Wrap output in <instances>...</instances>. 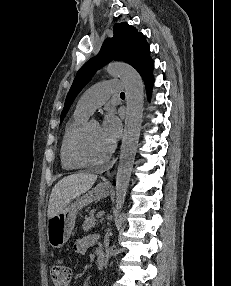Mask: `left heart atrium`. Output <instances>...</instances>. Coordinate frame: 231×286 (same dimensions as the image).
Wrapping results in <instances>:
<instances>
[{
  "label": "left heart atrium",
  "instance_id": "39dd6f15",
  "mask_svg": "<svg viewBox=\"0 0 231 286\" xmlns=\"http://www.w3.org/2000/svg\"><path fill=\"white\" fill-rule=\"evenodd\" d=\"M100 127L104 136L111 144H114L120 137L121 124L115 115H107Z\"/></svg>",
  "mask_w": 231,
  "mask_h": 286
}]
</instances>
